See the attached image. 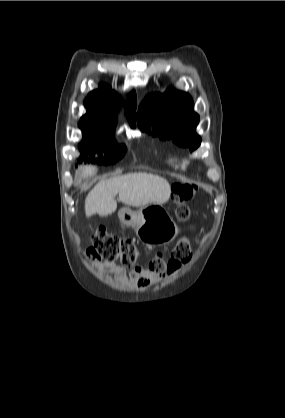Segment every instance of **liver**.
Masks as SVG:
<instances>
[{"instance_id": "obj_1", "label": "liver", "mask_w": 285, "mask_h": 418, "mask_svg": "<svg viewBox=\"0 0 285 418\" xmlns=\"http://www.w3.org/2000/svg\"><path fill=\"white\" fill-rule=\"evenodd\" d=\"M95 166H81L76 173V182L96 174ZM130 206L142 207L149 204L160 205L168 201L171 194L170 184L158 175L145 172L129 173L97 183L85 199L87 216L99 214L107 216L117 208L115 196Z\"/></svg>"}]
</instances>
